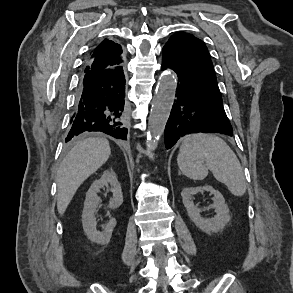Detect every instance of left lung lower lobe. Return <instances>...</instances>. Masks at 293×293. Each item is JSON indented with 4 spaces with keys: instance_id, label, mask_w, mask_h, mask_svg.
Here are the masks:
<instances>
[{
    "instance_id": "left-lung-lower-lobe-1",
    "label": "left lung lower lobe",
    "mask_w": 293,
    "mask_h": 293,
    "mask_svg": "<svg viewBox=\"0 0 293 293\" xmlns=\"http://www.w3.org/2000/svg\"><path fill=\"white\" fill-rule=\"evenodd\" d=\"M162 55V69L171 68L178 77L176 99L165 127L166 148H172L178 139L190 133L219 132L232 136L222 97L189 80L169 48L163 47Z\"/></svg>"
}]
</instances>
